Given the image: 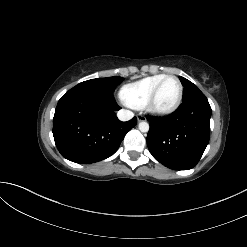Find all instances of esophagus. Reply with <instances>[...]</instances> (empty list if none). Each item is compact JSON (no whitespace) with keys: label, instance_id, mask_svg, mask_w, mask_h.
Segmentation results:
<instances>
[{"label":"esophagus","instance_id":"esophagus-1","mask_svg":"<svg viewBox=\"0 0 247 247\" xmlns=\"http://www.w3.org/2000/svg\"><path fill=\"white\" fill-rule=\"evenodd\" d=\"M137 120H138V122H141V121H145L146 118L143 115L139 114V115H137Z\"/></svg>","mask_w":247,"mask_h":247}]
</instances>
